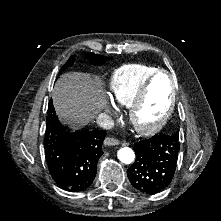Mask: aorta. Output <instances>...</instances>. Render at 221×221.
I'll list each match as a JSON object with an SVG mask.
<instances>
[{
	"label": "aorta",
	"instance_id": "1",
	"mask_svg": "<svg viewBox=\"0 0 221 221\" xmlns=\"http://www.w3.org/2000/svg\"><path fill=\"white\" fill-rule=\"evenodd\" d=\"M118 159L125 164H130L134 161V151L129 147H123L119 149L117 153Z\"/></svg>",
	"mask_w": 221,
	"mask_h": 221
}]
</instances>
